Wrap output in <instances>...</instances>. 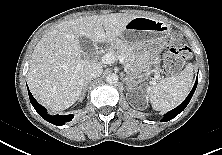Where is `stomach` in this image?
<instances>
[{
	"label": "stomach",
	"instance_id": "0dacf381",
	"mask_svg": "<svg viewBox=\"0 0 222 155\" xmlns=\"http://www.w3.org/2000/svg\"><path fill=\"white\" fill-rule=\"evenodd\" d=\"M170 34L169 24L144 16L134 18L125 26L120 42L135 48V62L128 67L127 72V79L131 84H138L150 76L155 66L151 55L164 48Z\"/></svg>",
	"mask_w": 222,
	"mask_h": 155
}]
</instances>
